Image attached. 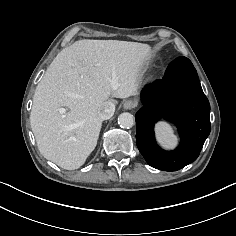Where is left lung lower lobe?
<instances>
[{
	"mask_svg": "<svg viewBox=\"0 0 236 236\" xmlns=\"http://www.w3.org/2000/svg\"><path fill=\"white\" fill-rule=\"evenodd\" d=\"M144 107L135 115L136 144L147 163L159 170L176 171L195 161L210 133V104L191 61L178 57L162 80L141 92ZM173 122L181 143L174 151L162 150L154 139V123Z\"/></svg>",
	"mask_w": 236,
	"mask_h": 236,
	"instance_id": "0a47b994",
	"label": "left lung lower lobe"
}]
</instances>
